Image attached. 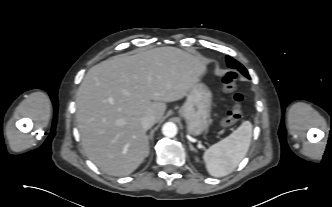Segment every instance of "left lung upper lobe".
Here are the masks:
<instances>
[{
  "label": "left lung upper lobe",
  "instance_id": "left-lung-upper-lobe-1",
  "mask_svg": "<svg viewBox=\"0 0 332 207\" xmlns=\"http://www.w3.org/2000/svg\"><path fill=\"white\" fill-rule=\"evenodd\" d=\"M226 61H227V65L232 68V69H237L239 70L244 76H246L247 78H249V75L247 73V70L245 69V67L243 65H241L238 61L234 60L233 58H231L230 56H226Z\"/></svg>",
  "mask_w": 332,
  "mask_h": 207
}]
</instances>
